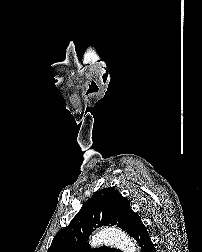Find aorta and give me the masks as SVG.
Instances as JSON below:
<instances>
[{
    "label": "aorta",
    "mask_w": 202,
    "mask_h": 252,
    "mask_svg": "<svg viewBox=\"0 0 202 252\" xmlns=\"http://www.w3.org/2000/svg\"><path fill=\"white\" fill-rule=\"evenodd\" d=\"M105 243L120 249L122 252H136V244L127 233L116 228H104L90 240L91 246Z\"/></svg>",
    "instance_id": "aorta-1"
}]
</instances>
